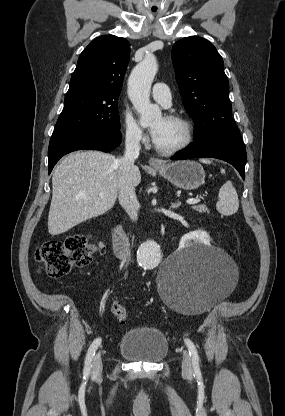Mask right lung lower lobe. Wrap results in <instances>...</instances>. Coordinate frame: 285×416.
I'll return each mask as SVG.
<instances>
[{"instance_id":"98d812e1","label":"right lung lower lobe","mask_w":285,"mask_h":416,"mask_svg":"<svg viewBox=\"0 0 285 416\" xmlns=\"http://www.w3.org/2000/svg\"><path fill=\"white\" fill-rule=\"evenodd\" d=\"M121 142L120 132L98 130H54L48 149V172L57 161L76 150H100L109 152Z\"/></svg>"}]
</instances>
